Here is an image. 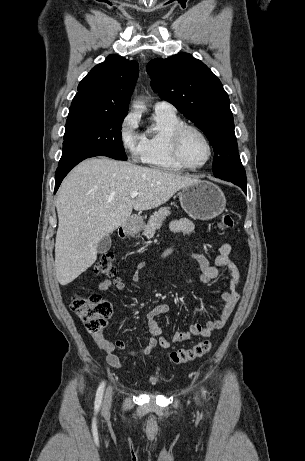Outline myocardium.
I'll use <instances>...</instances> for the list:
<instances>
[{
    "label": "myocardium",
    "mask_w": 305,
    "mask_h": 461,
    "mask_svg": "<svg viewBox=\"0 0 305 461\" xmlns=\"http://www.w3.org/2000/svg\"><path fill=\"white\" fill-rule=\"evenodd\" d=\"M187 132H193L197 134L204 141L207 147V150H208L207 158L202 164L198 166H192L188 164L183 158V155L181 152L182 140ZM170 147H171L172 155L174 159L176 160V162L180 164L183 168L192 170V171L199 170L205 167L209 163L213 155V147L208 137L199 128L193 125H189V124H182L174 130L171 136V139H170Z\"/></svg>",
    "instance_id": "obj_1"
}]
</instances>
